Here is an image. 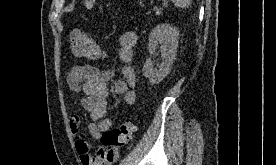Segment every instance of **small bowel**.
<instances>
[{
  "label": "small bowel",
  "instance_id": "1",
  "mask_svg": "<svg viewBox=\"0 0 276 165\" xmlns=\"http://www.w3.org/2000/svg\"><path fill=\"white\" fill-rule=\"evenodd\" d=\"M137 44V36L133 32H124L118 37V58L124 64L122 68L123 78L113 83L116 94L122 95L126 104H134L136 101V71L132 66L134 49ZM113 79V71L104 66L91 64L76 65L67 75L68 87L80 94L79 102L89 113V133L96 139L101 138L104 132L111 129L113 120L106 116L108 83ZM80 117L72 115L69 120L70 129L74 138L76 151L82 165H113L118 158V151L113 150L112 155L103 147L92 154L88 142L80 132Z\"/></svg>",
  "mask_w": 276,
  "mask_h": 165
}]
</instances>
